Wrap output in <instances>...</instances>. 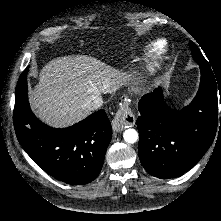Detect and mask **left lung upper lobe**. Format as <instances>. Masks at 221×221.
<instances>
[{
  "label": "left lung upper lobe",
  "instance_id": "left-lung-upper-lobe-1",
  "mask_svg": "<svg viewBox=\"0 0 221 221\" xmlns=\"http://www.w3.org/2000/svg\"><path fill=\"white\" fill-rule=\"evenodd\" d=\"M190 47L193 58L198 64H208V62L206 61V59L204 58L198 47L193 42H190Z\"/></svg>",
  "mask_w": 221,
  "mask_h": 221
}]
</instances>
